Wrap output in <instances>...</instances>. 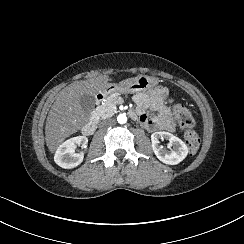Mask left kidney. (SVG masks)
<instances>
[{"mask_svg":"<svg viewBox=\"0 0 244 244\" xmlns=\"http://www.w3.org/2000/svg\"><path fill=\"white\" fill-rule=\"evenodd\" d=\"M167 139L173 145V150L165 152L159 145L160 140ZM152 149L162 163L166 165H178L188 155L187 145L178 137L168 132H155L151 135Z\"/></svg>","mask_w":244,"mask_h":244,"instance_id":"left-kidney-1","label":"left kidney"}]
</instances>
